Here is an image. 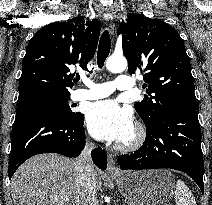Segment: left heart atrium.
Wrapping results in <instances>:
<instances>
[{"label":"left heart atrium","instance_id":"obj_1","mask_svg":"<svg viewBox=\"0 0 212 205\" xmlns=\"http://www.w3.org/2000/svg\"><path fill=\"white\" fill-rule=\"evenodd\" d=\"M90 134L100 140L123 142L134 131L130 109L121 107L115 100H104L90 105L86 115Z\"/></svg>","mask_w":212,"mask_h":205}]
</instances>
